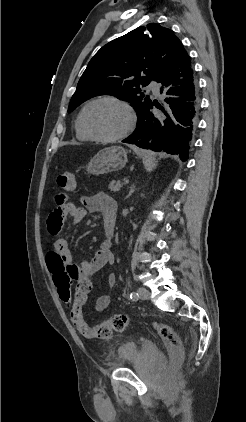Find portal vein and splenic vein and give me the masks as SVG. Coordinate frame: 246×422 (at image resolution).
I'll return each mask as SVG.
<instances>
[{"label":"portal vein and splenic vein","mask_w":246,"mask_h":422,"mask_svg":"<svg viewBox=\"0 0 246 422\" xmlns=\"http://www.w3.org/2000/svg\"><path fill=\"white\" fill-rule=\"evenodd\" d=\"M124 185H127V184H129V179H126L125 181H124V183H123ZM116 190H117V188H116Z\"/></svg>","instance_id":"1"}]
</instances>
